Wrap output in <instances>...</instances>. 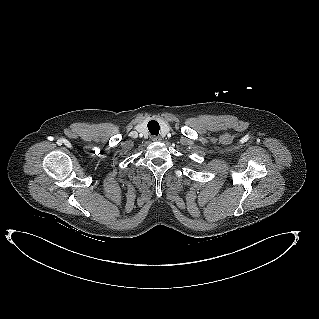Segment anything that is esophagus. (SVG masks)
Returning a JSON list of instances; mask_svg holds the SVG:
<instances>
[{
  "label": "esophagus",
  "instance_id": "1",
  "mask_svg": "<svg viewBox=\"0 0 319 319\" xmlns=\"http://www.w3.org/2000/svg\"><path fill=\"white\" fill-rule=\"evenodd\" d=\"M152 141H154V142H159L160 140H161V138L159 137V136H156V135H154V136H152Z\"/></svg>",
  "mask_w": 319,
  "mask_h": 319
}]
</instances>
